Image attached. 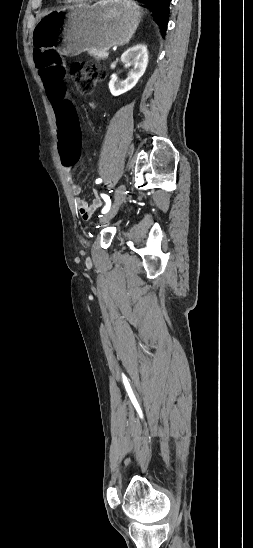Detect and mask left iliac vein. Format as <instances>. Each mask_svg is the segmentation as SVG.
Instances as JSON below:
<instances>
[{
  "label": "left iliac vein",
  "instance_id": "left-iliac-vein-1",
  "mask_svg": "<svg viewBox=\"0 0 253 548\" xmlns=\"http://www.w3.org/2000/svg\"><path fill=\"white\" fill-rule=\"evenodd\" d=\"M125 191H126V187L124 184H121L118 186L115 192V201L111 209L101 217L100 222H106L115 216V214L117 213L122 203V200L125 197Z\"/></svg>",
  "mask_w": 253,
  "mask_h": 548
}]
</instances>
